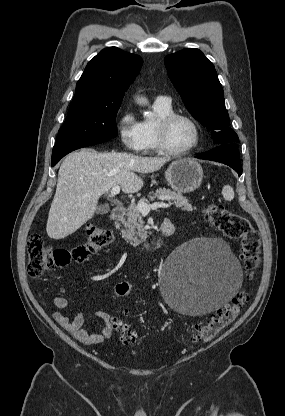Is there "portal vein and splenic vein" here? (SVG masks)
Returning a JSON list of instances; mask_svg holds the SVG:
<instances>
[{"label": "portal vein and splenic vein", "mask_w": 285, "mask_h": 416, "mask_svg": "<svg viewBox=\"0 0 285 416\" xmlns=\"http://www.w3.org/2000/svg\"><path fill=\"white\" fill-rule=\"evenodd\" d=\"M120 194V186H114L111 188V196ZM171 204H164V202H154V204H145V202H139L137 206L140 214H149L150 210H157V208H170Z\"/></svg>", "instance_id": "1"}]
</instances>
